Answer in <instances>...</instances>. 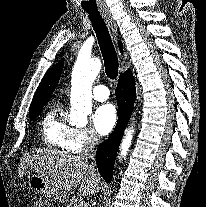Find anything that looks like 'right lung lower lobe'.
Here are the masks:
<instances>
[{
	"label": "right lung lower lobe",
	"mask_w": 206,
	"mask_h": 207,
	"mask_svg": "<svg viewBox=\"0 0 206 207\" xmlns=\"http://www.w3.org/2000/svg\"><path fill=\"white\" fill-rule=\"evenodd\" d=\"M115 93L118 104L117 125L108 140L100 144L96 152L99 173L108 183L113 177L116 152L131 117L136 98L135 79L130 69L120 75Z\"/></svg>",
	"instance_id": "obj_1"
}]
</instances>
